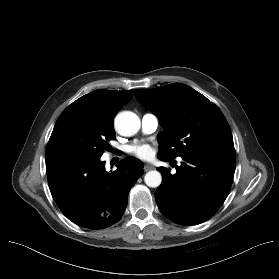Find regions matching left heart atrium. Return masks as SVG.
Here are the masks:
<instances>
[{
    "label": "left heart atrium",
    "mask_w": 279,
    "mask_h": 279,
    "mask_svg": "<svg viewBox=\"0 0 279 279\" xmlns=\"http://www.w3.org/2000/svg\"><path fill=\"white\" fill-rule=\"evenodd\" d=\"M129 152L143 160H148L153 155L152 148L147 144H135L129 148Z\"/></svg>",
    "instance_id": "left-heart-atrium-1"
}]
</instances>
